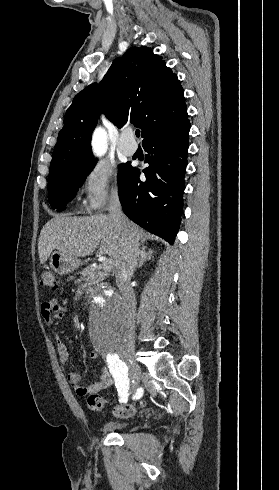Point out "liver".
Instances as JSON below:
<instances>
[{
	"instance_id": "1",
	"label": "liver",
	"mask_w": 279,
	"mask_h": 490,
	"mask_svg": "<svg viewBox=\"0 0 279 490\" xmlns=\"http://www.w3.org/2000/svg\"><path fill=\"white\" fill-rule=\"evenodd\" d=\"M125 228H118L109 216H87V218H65L64 214L55 216L43 226L38 242L40 264L47 262L51 252L58 250L71 258H84L95 252L107 254L113 264L122 262L125 254L127 234H134L140 244H144L146 234L139 226L128 220ZM128 230V232H127Z\"/></svg>"
}]
</instances>
